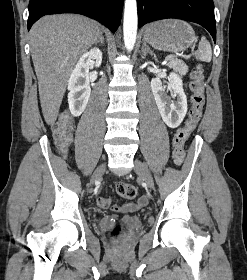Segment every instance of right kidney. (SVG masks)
I'll return each instance as SVG.
<instances>
[{
	"mask_svg": "<svg viewBox=\"0 0 247 280\" xmlns=\"http://www.w3.org/2000/svg\"><path fill=\"white\" fill-rule=\"evenodd\" d=\"M102 62V52L93 48L84 53L70 75L68 81V103L71 114L80 116L85 110L90 94L89 68L93 65L99 67Z\"/></svg>",
	"mask_w": 247,
	"mask_h": 280,
	"instance_id": "1",
	"label": "right kidney"
}]
</instances>
